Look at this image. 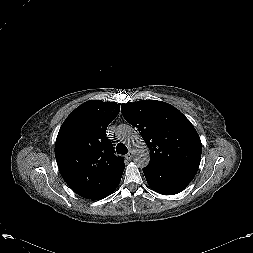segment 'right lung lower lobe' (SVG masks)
<instances>
[{
	"label": "right lung lower lobe",
	"mask_w": 253,
	"mask_h": 253,
	"mask_svg": "<svg viewBox=\"0 0 253 253\" xmlns=\"http://www.w3.org/2000/svg\"><path fill=\"white\" fill-rule=\"evenodd\" d=\"M119 183H120V181L117 182L114 186H112L107 191H105V192L101 193L100 195H98L97 197H95L93 200L102 199V198L108 196L109 194H111L116 189V187L119 185Z\"/></svg>",
	"instance_id": "1"
}]
</instances>
